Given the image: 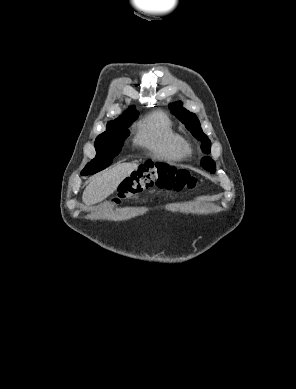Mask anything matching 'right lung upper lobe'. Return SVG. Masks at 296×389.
<instances>
[{
	"label": "right lung upper lobe",
	"mask_w": 296,
	"mask_h": 389,
	"mask_svg": "<svg viewBox=\"0 0 296 389\" xmlns=\"http://www.w3.org/2000/svg\"><path fill=\"white\" fill-rule=\"evenodd\" d=\"M133 111H137V110H134V109L130 108V109H128L124 114L130 113V112H133Z\"/></svg>",
	"instance_id": "cb5924a9"
}]
</instances>
